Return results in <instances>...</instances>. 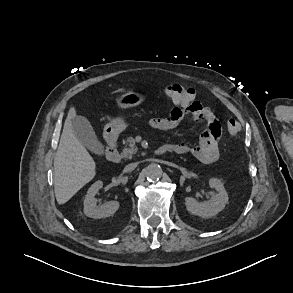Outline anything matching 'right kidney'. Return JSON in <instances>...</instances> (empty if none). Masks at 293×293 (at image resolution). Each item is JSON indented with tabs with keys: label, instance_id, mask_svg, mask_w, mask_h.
<instances>
[{
	"label": "right kidney",
	"instance_id": "1",
	"mask_svg": "<svg viewBox=\"0 0 293 293\" xmlns=\"http://www.w3.org/2000/svg\"><path fill=\"white\" fill-rule=\"evenodd\" d=\"M103 187L102 181H96L88 190L84 199V214L88 217L99 219L112 216L119 208V202L112 200L100 206L97 205L95 195Z\"/></svg>",
	"mask_w": 293,
	"mask_h": 293
}]
</instances>
